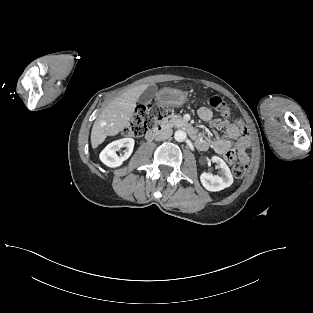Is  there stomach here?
Segmentation results:
<instances>
[{
    "label": "stomach",
    "mask_w": 313,
    "mask_h": 313,
    "mask_svg": "<svg viewBox=\"0 0 313 313\" xmlns=\"http://www.w3.org/2000/svg\"><path fill=\"white\" fill-rule=\"evenodd\" d=\"M187 100V93L178 89L165 88L157 95V102L164 107H179Z\"/></svg>",
    "instance_id": "1"
}]
</instances>
